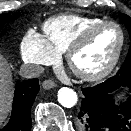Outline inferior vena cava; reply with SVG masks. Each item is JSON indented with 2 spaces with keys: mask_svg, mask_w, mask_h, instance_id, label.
<instances>
[{
  "mask_svg": "<svg viewBox=\"0 0 131 131\" xmlns=\"http://www.w3.org/2000/svg\"><path fill=\"white\" fill-rule=\"evenodd\" d=\"M44 72V68L39 65H23L20 69V75L24 78L30 79L40 76Z\"/></svg>",
  "mask_w": 131,
  "mask_h": 131,
  "instance_id": "obj_1",
  "label": "inferior vena cava"
}]
</instances>
